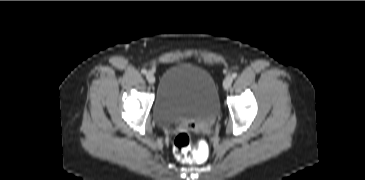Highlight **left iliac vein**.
<instances>
[{
  "label": "left iliac vein",
  "instance_id": "obj_1",
  "mask_svg": "<svg viewBox=\"0 0 365 180\" xmlns=\"http://www.w3.org/2000/svg\"><path fill=\"white\" fill-rule=\"evenodd\" d=\"M232 82H233L232 77H231V76H227V77L225 78L224 82H223V87H224L225 89H229V88H230V86H231V84H232Z\"/></svg>",
  "mask_w": 365,
  "mask_h": 180
}]
</instances>
